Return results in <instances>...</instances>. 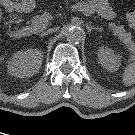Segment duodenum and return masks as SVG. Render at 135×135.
<instances>
[{
  "mask_svg": "<svg viewBox=\"0 0 135 135\" xmlns=\"http://www.w3.org/2000/svg\"><path fill=\"white\" fill-rule=\"evenodd\" d=\"M29 28L25 27V28H18V29H12L9 32V35L12 39H20L22 37H24L25 35H27V33H29Z\"/></svg>",
  "mask_w": 135,
  "mask_h": 135,
  "instance_id": "1",
  "label": "duodenum"
}]
</instances>
